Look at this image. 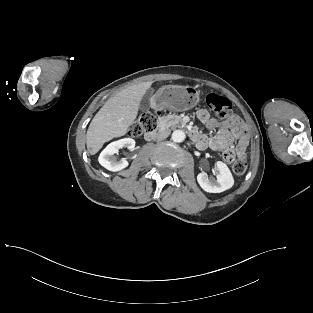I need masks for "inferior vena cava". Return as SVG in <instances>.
<instances>
[{"mask_svg": "<svg viewBox=\"0 0 313 313\" xmlns=\"http://www.w3.org/2000/svg\"><path fill=\"white\" fill-rule=\"evenodd\" d=\"M170 134L169 130H163L160 133L156 134L155 139L157 140H162L168 137V135Z\"/></svg>", "mask_w": 313, "mask_h": 313, "instance_id": "inferior-vena-cava-1", "label": "inferior vena cava"}]
</instances>
